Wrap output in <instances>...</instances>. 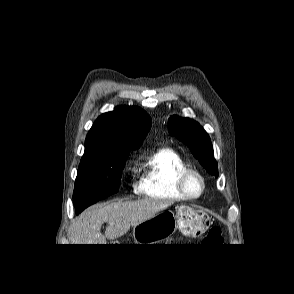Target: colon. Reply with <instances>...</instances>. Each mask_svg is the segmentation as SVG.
I'll return each mask as SVG.
<instances>
[{
  "instance_id": "colon-1",
  "label": "colon",
  "mask_w": 294,
  "mask_h": 294,
  "mask_svg": "<svg viewBox=\"0 0 294 294\" xmlns=\"http://www.w3.org/2000/svg\"><path fill=\"white\" fill-rule=\"evenodd\" d=\"M222 241L221 230L217 227L211 228L202 240L203 244H220Z\"/></svg>"
}]
</instances>
